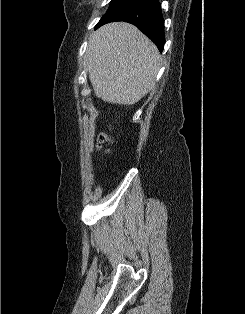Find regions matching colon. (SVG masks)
Instances as JSON below:
<instances>
[{"mask_svg": "<svg viewBox=\"0 0 245 314\" xmlns=\"http://www.w3.org/2000/svg\"><path fill=\"white\" fill-rule=\"evenodd\" d=\"M99 148L100 150H102L104 153H109V148H107V144H109L111 142V136L109 134V132L105 131L102 132L99 135Z\"/></svg>", "mask_w": 245, "mask_h": 314, "instance_id": "5ec220e1", "label": "colon"}]
</instances>
